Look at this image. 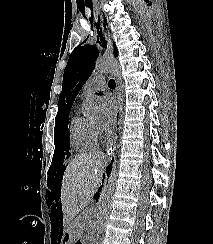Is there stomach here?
I'll return each instance as SVG.
<instances>
[{
	"label": "stomach",
	"instance_id": "1",
	"mask_svg": "<svg viewBox=\"0 0 213 244\" xmlns=\"http://www.w3.org/2000/svg\"><path fill=\"white\" fill-rule=\"evenodd\" d=\"M76 221H66L64 223V228H66V234H64V239H61V244H73V239H77L79 234V229H77Z\"/></svg>",
	"mask_w": 213,
	"mask_h": 244
}]
</instances>
